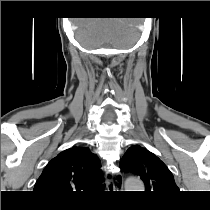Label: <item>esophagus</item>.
<instances>
[{
    "label": "esophagus",
    "instance_id": "obj_1",
    "mask_svg": "<svg viewBox=\"0 0 210 210\" xmlns=\"http://www.w3.org/2000/svg\"><path fill=\"white\" fill-rule=\"evenodd\" d=\"M106 180H107V183H110V181L112 180V177L110 176V172L109 171L106 172ZM115 180H116V189L122 191L123 187H124L123 175L122 174L117 175L115 177Z\"/></svg>",
    "mask_w": 210,
    "mask_h": 210
}]
</instances>
